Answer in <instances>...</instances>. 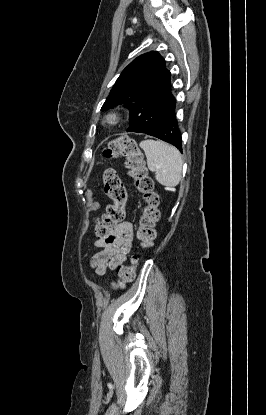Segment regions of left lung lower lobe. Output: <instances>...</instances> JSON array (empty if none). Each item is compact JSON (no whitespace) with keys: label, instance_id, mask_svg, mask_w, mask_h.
<instances>
[{"label":"left lung lower lobe","instance_id":"left-lung-lower-lobe-1","mask_svg":"<svg viewBox=\"0 0 266 415\" xmlns=\"http://www.w3.org/2000/svg\"><path fill=\"white\" fill-rule=\"evenodd\" d=\"M144 133L171 143L182 152V138L178 128L175 107L159 125Z\"/></svg>","mask_w":266,"mask_h":415}]
</instances>
